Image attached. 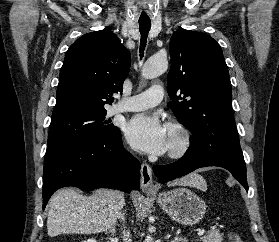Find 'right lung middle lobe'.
Instances as JSON below:
<instances>
[{"label":"right lung middle lobe","mask_w":279,"mask_h":242,"mask_svg":"<svg viewBox=\"0 0 279 242\" xmlns=\"http://www.w3.org/2000/svg\"><path fill=\"white\" fill-rule=\"evenodd\" d=\"M106 110H72L52 115L46 152L78 142L98 141L120 132L105 120Z\"/></svg>","instance_id":"right-lung-middle-lobe-1"}]
</instances>
